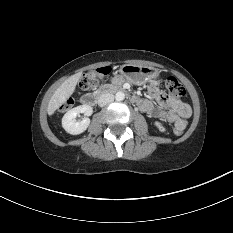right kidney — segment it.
<instances>
[{"instance_id": "ca27d5eb", "label": "right kidney", "mask_w": 233, "mask_h": 233, "mask_svg": "<svg viewBox=\"0 0 233 233\" xmlns=\"http://www.w3.org/2000/svg\"><path fill=\"white\" fill-rule=\"evenodd\" d=\"M93 109L89 105H80L69 110L62 118V127L65 131L72 135H78L83 133L90 124L89 116L92 115ZM84 114L82 121H77L76 117L80 114Z\"/></svg>"}]
</instances>
